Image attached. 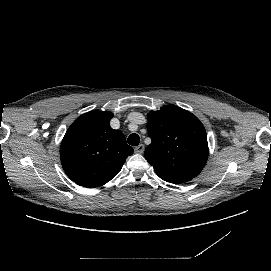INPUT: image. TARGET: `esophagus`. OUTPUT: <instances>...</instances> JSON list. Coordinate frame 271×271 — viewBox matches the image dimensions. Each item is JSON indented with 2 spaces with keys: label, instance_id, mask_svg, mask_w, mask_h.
I'll return each mask as SVG.
<instances>
[{
  "label": "esophagus",
  "instance_id": "esophagus-1",
  "mask_svg": "<svg viewBox=\"0 0 271 271\" xmlns=\"http://www.w3.org/2000/svg\"><path fill=\"white\" fill-rule=\"evenodd\" d=\"M145 150L144 144H139L137 147H135L134 152L138 154H142Z\"/></svg>",
  "mask_w": 271,
  "mask_h": 271
}]
</instances>
